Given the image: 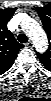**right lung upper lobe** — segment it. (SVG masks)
I'll list each match as a JSON object with an SVG mask.
<instances>
[{"label":"right lung upper lobe","mask_w":51,"mask_h":101,"mask_svg":"<svg viewBox=\"0 0 51 101\" xmlns=\"http://www.w3.org/2000/svg\"><path fill=\"white\" fill-rule=\"evenodd\" d=\"M15 11L16 8L0 10V74L13 65L20 48L24 47L7 28V23Z\"/></svg>","instance_id":"right-lung-upper-lobe-1"}]
</instances>
